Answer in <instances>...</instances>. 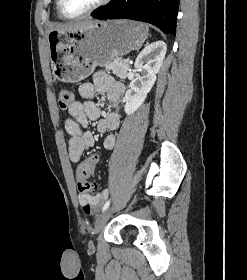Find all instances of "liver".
Returning <instances> with one entry per match:
<instances>
[{
  "label": "liver",
  "mask_w": 247,
  "mask_h": 280,
  "mask_svg": "<svg viewBox=\"0 0 247 280\" xmlns=\"http://www.w3.org/2000/svg\"><path fill=\"white\" fill-rule=\"evenodd\" d=\"M96 22L97 21L88 20V21L72 22V23H67V24H55L54 26H52L50 31H58L61 33L74 32V31L84 29Z\"/></svg>",
  "instance_id": "6515ba94"
}]
</instances>
